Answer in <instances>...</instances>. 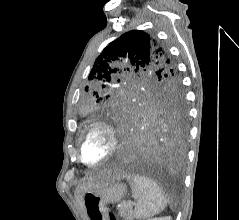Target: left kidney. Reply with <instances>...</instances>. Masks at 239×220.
<instances>
[{"mask_svg": "<svg viewBox=\"0 0 239 220\" xmlns=\"http://www.w3.org/2000/svg\"><path fill=\"white\" fill-rule=\"evenodd\" d=\"M147 220H172V218L169 216L168 217H160V218L155 217V218H150Z\"/></svg>", "mask_w": 239, "mask_h": 220, "instance_id": "1", "label": "left kidney"}]
</instances>
